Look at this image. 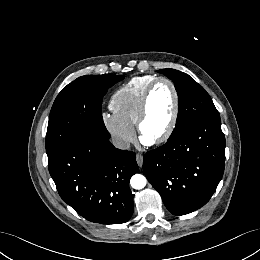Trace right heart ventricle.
Wrapping results in <instances>:
<instances>
[{
  "mask_svg": "<svg viewBox=\"0 0 260 260\" xmlns=\"http://www.w3.org/2000/svg\"><path fill=\"white\" fill-rule=\"evenodd\" d=\"M155 79L157 77L153 75L134 77L117 89L110 99V107L113 112L134 126L143 95Z\"/></svg>",
  "mask_w": 260,
  "mask_h": 260,
  "instance_id": "1",
  "label": "right heart ventricle"
}]
</instances>
